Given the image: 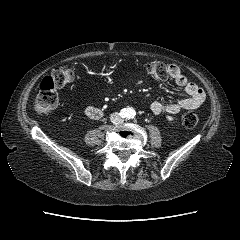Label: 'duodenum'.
Here are the masks:
<instances>
[{
  "label": "duodenum",
  "instance_id": "1",
  "mask_svg": "<svg viewBox=\"0 0 240 240\" xmlns=\"http://www.w3.org/2000/svg\"><path fill=\"white\" fill-rule=\"evenodd\" d=\"M86 114L89 117L94 118V119L99 118L102 115L101 111L95 107H88L86 109Z\"/></svg>",
  "mask_w": 240,
  "mask_h": 240
}]
</instances>
